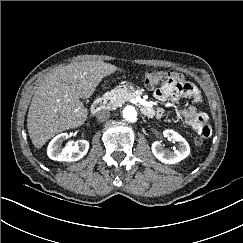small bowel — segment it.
Returning <instances> with one entry per match:
<instances>
[{"label":"small bowel","mask_w":243,"mask_h":243,"mask_svg":"<svg viewBox=\"0 0 243 243\" xmlns=\"http://www.w3.org/2000/svg\"><path fill=\"white\" fill-rule=\"evenodd\" d=\"M153 96L158 101L178 102L182 98H190L194 104L201 102V95L198 88L187 81L183 74L179 72L168 73L166 80L153 91ZM164 109L156 110V117L164 116ZM182 118L184 123L193 128L198 135L208 138L211 135V127L208 124L207 114L199 110L195 105H190L183 109Z\"/></svg>","instance_id":"obj_1"}]
</instances>
